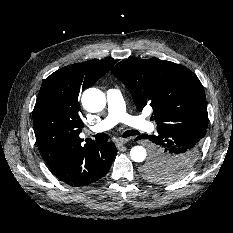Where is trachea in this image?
Returning <instances> with one entry per match:
<instances>
[{"instance_id":"obj_1","label":"trachea","mask_w":233,"mask_h":233,"mask_svg":"<svg viewBox=\"0 0 233 233\" xmlns=\"http://www.w3.org/2000/svg\"><path fill=\"white\" fill-rule=\"evenodd\" d=\"M136 135H139V132L136 130H128L123 133L124 138L130 137V136H136ZM108 139H109V136L105 133H98L95 135L96 142H100V143L107 142Z\"/></svg>"}]
</instances>
